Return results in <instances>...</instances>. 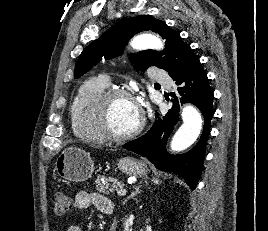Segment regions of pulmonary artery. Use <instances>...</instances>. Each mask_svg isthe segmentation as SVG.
<instances>
[{
    "instance_id": "1",
    "label": "pulmonary artery",
    "mask_w": 268,
    "mask_h": 231,
    "mask_svg": "<svg viewBox=\"0 0 268 231\" xmlns=\"http://www.w3.org/2000/svg\"><path fill=\"white\" fill-rule=\"evenodd\" d=\"M150 77L159 83L165 85V87L169 88L171 86L170 83H164L167 79V74L163 71H160L158 68L154 67L150 70Z\"/></svg>"
}]
</instances>
